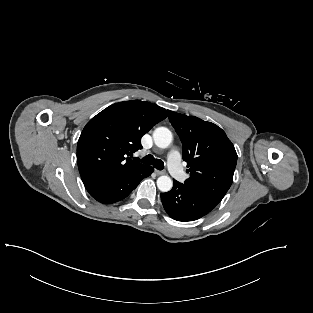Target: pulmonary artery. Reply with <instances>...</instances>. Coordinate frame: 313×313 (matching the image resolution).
Returning a JSON list of instances; mask_svg holds the SVG:
<instances>
[{"instance_id":"pulmonary-artery-1","label":"pulmonary artery","mask_w":313,"mask_h":313,"mask_svg":"<svg viewBox=\"0 0 313 313\" xmlns=\"http://www.w3.org/2000/svg\"><path fill=\"white\" fill-rule=\"evenodd\" d=\"M168 167L172 176L180 182L186 180V174L181 166V155L176 149L170 151L168 155Z\"/></svg>"}]
</instances>
